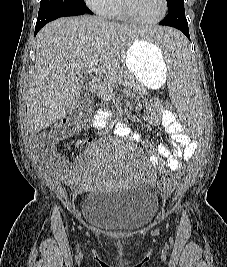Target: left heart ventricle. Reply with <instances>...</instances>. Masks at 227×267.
<instances>
[{"mask_svg": "<svg viewBox=\"0 0 227 267\" xmlns=\"http://www.w3.org/2000/svg\"><path fill=\"white\" fill-rule=\"evenodd\" d=\"M131 11L139 18L151 20L162 11V0H128Z\"/></svg>", "mask_w": 227, "mask_h": 267, "instance_id": "obj_1", "label": "left heart ventricle"}]
</instances>
